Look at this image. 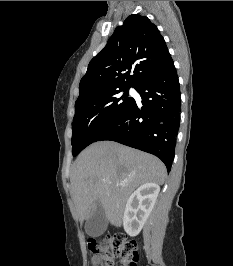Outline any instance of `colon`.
I'll use <instances>...</instances> for the list:
<instances>
[{
	"mask_svg": "<svg viewBox=\"0 0 233 266\" xmlns=\"http://www.w3.org/2000/svg\"><path fill=\"white\" fill-rule=\"evenodd\" d=\"M89 248L100 256L101 266H112L115 257L122 260L123 266H137L139 261L136 241L127 240L121 234L105 236L100 240L90 239Z\"/></svg>",
	"mask_w": 233,
	"mask_h": 266,
	"instance_id": "5ec220e1",
	"label": "colon"
}]
</instances>
